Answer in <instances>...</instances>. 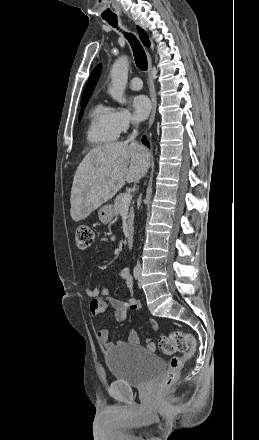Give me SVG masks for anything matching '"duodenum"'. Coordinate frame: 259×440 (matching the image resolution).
I'll return each instance as SVG.
<instances>
[{"label": "duodenum", "instance_id": "410a0bca", "mask_svg": "<svg viewBox=\"0 0 259 440\" xmlns=\"http://www.w3.org/2000/svg\"><path fill=\"white\" fill-rule=\"evenodd\" d=\"M126 242H127L128 246H132V244H133V231L132 230H129L127 232Z\"/></svg>", "mask_w": 259, "mask_h": 440}]
</instances>
